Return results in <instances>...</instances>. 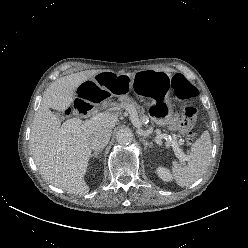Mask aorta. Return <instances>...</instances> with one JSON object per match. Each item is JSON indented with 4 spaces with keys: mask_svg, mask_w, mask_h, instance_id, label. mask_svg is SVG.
Masks as SVG:
<instances>
[{
    "mask_svg": "<svg viewBox=\"0 0 248 248\" xmlns=\"http://www.w3.org/2000/svg\"><path fill=\"white\" fill-rule=\"evenodd\" d=\"M116 140L121 145H128L133 140V133L129 128L119 129L116 133Z\"/></svg>",
    "mask_w": 248,
    "mask_h": 248,
    "instance_id": "1",
    "label": "aorta"
}]
</instances>
